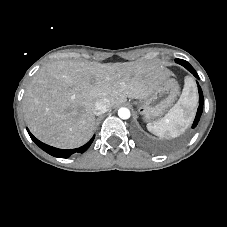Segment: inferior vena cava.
Listing matches in <instances>:
<instances>
[{
	"instance_id": "obj_1",
	"label": "inferior vena cava",
	"mask_w": 227,
	"mask_h": 227,
	"mask_svg": "<svg viewBox=\"0 0 227 227\" xmlns=\"http://www.w3.org/2000/svg\"><path fill=\"white\" fill-rule=\"evenodd\" d=\"M111 108V102L108 98H101L95 102L94 114L101 115Z\"/></svg>"
}]
</instances>
